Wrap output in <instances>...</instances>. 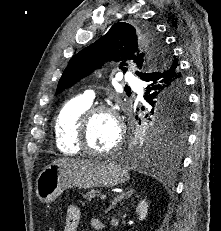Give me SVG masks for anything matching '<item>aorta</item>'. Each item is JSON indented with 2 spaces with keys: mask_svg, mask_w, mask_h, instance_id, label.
<instances>
[{
  "mask_svg": "<svg viewBox=\"0 0 221 231\" xmlns=\"http://www.w3.org/2000/svg\"><path fill=\"white\" fill-rule=\"evenodd\" d=\"M134 162L138 161L135 157H132V159ZM141 162H146V160H141Z\"/></svg>",
  "mask_w": 221,
  "mask_h": 231,
  "instance_id": "762f6f07",
  "label": "aorta"
}]
</instances>
